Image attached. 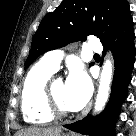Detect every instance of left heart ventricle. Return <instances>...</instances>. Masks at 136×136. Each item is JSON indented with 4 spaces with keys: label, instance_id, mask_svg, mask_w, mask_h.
Wrapping results in <instances>:
<instances>
[{
    "label": "left heart ventricle",
    "instance_id": "left-heart-ventricle-1",
    "mask_svg": "<svg viewBox=\"0 0 136 136\" xmlns=\"http://www.w3.org/2000/svg\"><path fill=\"white\" fill-rule=\"evenodd\" d=\"M53 93L60 107L64 110L70 111L71 109L68 107L65 99V83L56 80L53 84Z\"/></svg>",
    "mask_w": 136,
    "mask_h": 136
}]
</instances>
